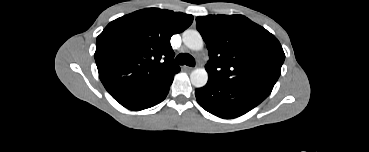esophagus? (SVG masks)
I'll list each match as a JSON object with an SVG mask.
<instances>
[{"instance_id":"esophagus-1","label":"esophagus","mask_w":369,"mask_h":152,"mask_svg":"<svg viewBox=\"0 0 369 152\" xmlns=\"http://www.w3.org/2000/svg\"><path fill=\"white\" fill-rule=\"evenodd\" d=\"M183 69L185 70V71H188V72H190V71H192L194 68L193 67H190V66H183Z\"/></svg>"}]
</instances>
